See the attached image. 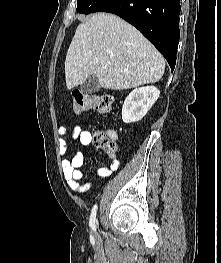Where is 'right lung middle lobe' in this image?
Instances as JSON below:
<instances>
[{
	"label": "right lung middle lobe",
	"instance_id": "right-lung-middle-lobe-1",
	"mask_svg": "<svg viewBox=\"0 0 221 263\" xmlns=\"http://www.w3.org/2000/svg\"><path fill=\"white\" fill-rule=\"evenodd\" d=\"M105 0H77V12L92 13Z\"/></svg>",
	"mask_w": 221,
	"mask_h": 263
}]
</instances>
